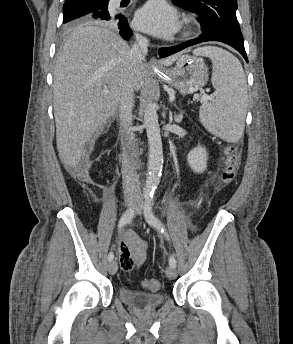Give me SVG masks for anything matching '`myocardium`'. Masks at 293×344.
<instances>
[{"label":"myocardium","instance_id":"obj_1","mask_svg":"<svg viewBox=\"0 0 293 344\" xmlns=\"http://www.w3.org/2000/svg\"><path fill=\"white\" fill-rule=\"evenodd\" d=\"M195 20L192 18H189L185 22V27L183 31V37H189L195 32Z\"/></svg>","mask_w":293,"mask_h":344}]
</instances>
